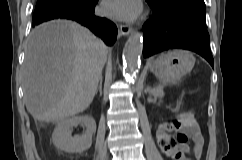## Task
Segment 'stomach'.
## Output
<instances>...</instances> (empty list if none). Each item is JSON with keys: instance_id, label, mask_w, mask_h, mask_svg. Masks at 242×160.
<instances>
[{"instance_id": "obj_1", "label": "stomach", "mask_w": 242, "mask_h": 160, "mask_svg": "<svg viewBox=\"0 0 242 160\" xmlns=\"http://www.w3.org/2000/svg\"><path fill=\"white\" fill-rule=\"evenodd\" d=\"M194 63L195 58L191 52L176 50L159 56L150 69L161 82L169 83L190 72Z\"/></svg>"}]
</instances>
